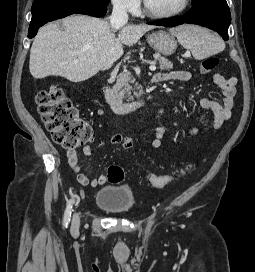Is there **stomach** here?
<instances>
[{
	"mask_svg": "<svg viewBox=\"0 0 255 272\" xmlns=\"http://www.w3.org/2000/svg\"><path fill=\"white\" fill-rule=\"evenodd\" d=\"M148 44L164 56L172 55L177 48V41L173 34L164 30L155 31L147 35Z\"/></svg>",
	"mask_w": 255,
	"mask_h": 272,
	"instance_id": "1",
	"label": "stomach"
}]
</instances>
